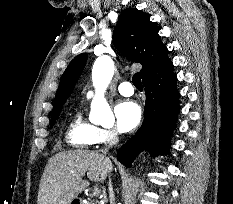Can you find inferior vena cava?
I'll return each instance as SVG.
<instances>
[{
	"label": "inferior vena cava",
	"mask_w": 233,
	"mask_h": 204,
	"mask_svg": "<svg viewBox=\"0 0 233 204\" xmlns=\"http://www.w3.org/2000/svg\"><path fill=\"white\" fill-rule=\"evenodd\" d=\"M117 143H118V137L115 134V136L113 137V139L110 141L109 146L107 148L101 150V152L103 154H106L108 152L109 148L112 147L113 145L117 144ZM109 195H110V204H115L114 203V201H115V199H114V192H113L111 181L109 182Z\"/></svg>",
	"instance_id": "1"
}]
</instances>
